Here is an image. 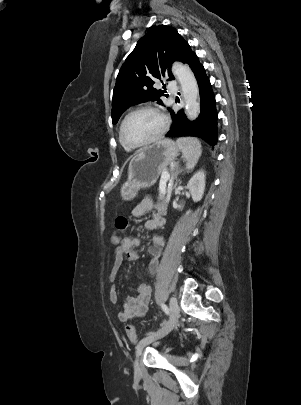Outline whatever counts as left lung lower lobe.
<instances>
[{
    "instance_id": "0a47b994",
    "label": "left lung lower lobe",
    "mask_w": 301,
    "mask_h": 405,
    "mask_svg": "<svg viewBox=\"0 0 301 405\" xmlns=\"http://www.w3.org/2000/svg\"><path fill=\"white\" fill-rule=\"evenodd\" d=\"M188 65L194 72L200 92V115L191 122L186 118L183 110L171 111L173 124L166 134L167 137H199L210 146H215L218 139L217 111L215 97L203 65L195 53L188 59Z\"/></svg>"
}]
</instances>
